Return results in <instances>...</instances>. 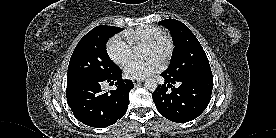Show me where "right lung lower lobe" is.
<instances>
[{"label": "right lung lower lobe", "instance_id": "98d812e1", "mask_svg": "<svg viewBox=\"0 0 276 138\" xmlns=\"http://www.w3.org/2000/svg\"><path fill=\"white\" fill-rule=\"evenodd\" d=\"M119 70L109 77L92 79L67 85L66 97L74 116L82 123L96 128L110 126L121 119L127 111L129 92L134 87L131 80L121 78ZM117 86L115 90L103 92L102 82Z\"/></svg>", "mask_w": 276, "mask_h": 138}]
</instances>
